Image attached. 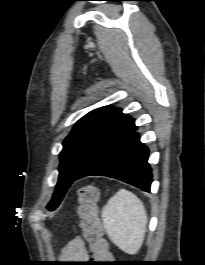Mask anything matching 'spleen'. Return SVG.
<instances>
[{"label":"spleen","instance_id":"3e777b00","mask_svg":"<svg viewBox=\"0 0 205 265\" xmlns=\"http://www.w3.org/2000/svg\"><path fill=\"white\" fill-rule=\"evenodd\" d=\"M102 220L110 240L119 249L131 255L140 250L148 219L144 204L135 194L120 189L104 206Z\"/></svg>","mask_w":205,"mask_h":265}]
</instances>
